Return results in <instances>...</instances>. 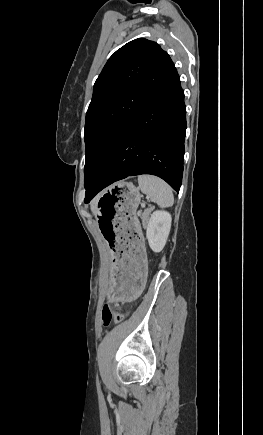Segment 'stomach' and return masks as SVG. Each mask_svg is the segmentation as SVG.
Here are the masks:
<instances>
[{
  "label": "stomach",
  "instance_id": "0dacf381",
  "mask_svg": "<svg viewBox=\"0 0 263 435\" xmlns=\"http://www.w3.org/2000/svg\"><path fill=\"white\" fill-rule=\"evenodd\" d=\"M141 195L132 182L119 181L105 190L97 202L98 231L110 247L113 277L111 298L115 305H132L149 283L146 274L145 234L137 207Z\"/></svg>",
  "mask_w": 263,
  "mask_h": 435
}]
</instances>
